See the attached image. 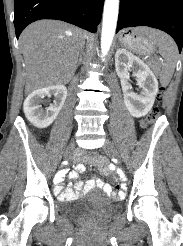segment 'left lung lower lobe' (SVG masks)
<instances>
[{"mask_svg": "<svg viewBox=\"0 0 183 246\" xmlns=\"http://www.w3.org/2000/svg\"><path fill=\"white\" fill-rule=\"evenodd\" d=\"M149 26L173 37L179 52L183 47V0H120L117 31Z\"/></svg>", "mask_w": 183, "mask_h": 246, "instance_id": "0a47b994", "label": "left lung lower lobe"}]
</instances>
